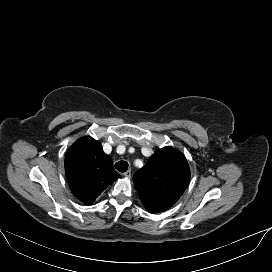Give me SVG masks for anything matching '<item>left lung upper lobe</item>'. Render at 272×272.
Segmentation results:
<instances>
[{
	"label": "left lung upper lobe",
	"mask_w": 272,
	"mask_h": 272,
	"mask_svg": "<svg viewBox=\"0 0 272 272\" xmlns=\"http://www.w3.org/2000/svg\"><path fill=\"white\" fill-rule=\"evenodd\" d=\"M189 180L190 169L185 156L171 147L157 151L133 177L143 205L153 213L172 207Z\"/></svg>",
	"instance_id": "5c2ea615"
}]
</instances>
